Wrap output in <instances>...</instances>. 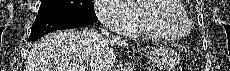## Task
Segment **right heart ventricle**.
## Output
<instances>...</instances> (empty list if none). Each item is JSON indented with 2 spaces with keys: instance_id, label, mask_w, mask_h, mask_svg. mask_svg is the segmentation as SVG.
<instances>
[{
  "instance_id": "obj_1",
  "label": "right heart ventricle",
  "mask_w": 230,
  "mask_h": 71,
  "mask_svg": "<svg viewBox=\"0 0 230 71\" xmlns=\"http://www.w3.org/2000/svg\"><path fill=\"white\" fill-rule=\"evenodd\" d=\"M178 8H182L181 3L177 4ZM132 13L135 16V26L133 29H128V35H137V34H144L153 38H165L162 35L158 34L154 31L145 21L144 19V12L141 7H132ZM168 39V38H165Z\"/></svg>"
}]
</instances>
